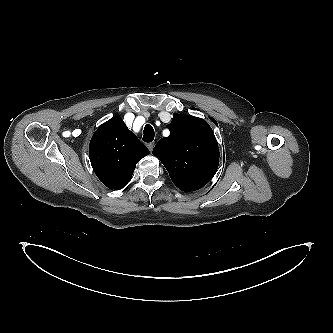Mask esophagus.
<instances>
[{
    "label": "esophagus",
    "instance_id": "obj_1",
    "mask_svg": "<svg viewBox=\"0 0 333 333\" xmlns=\"http://www.w3.org/2000/svg\"><path fill=\"white\" fill-rule=\"evenodd\" d=\"M154 145H155L154 142H151V143L147 144V147H148V149H149L150 152H152V150L154 148Z\"/></svg>",
    "mask_w": 333,
    "mask_h": 333
}]
</instances>
